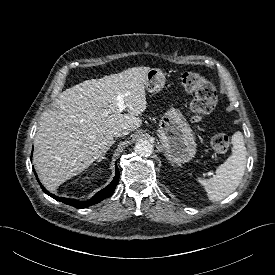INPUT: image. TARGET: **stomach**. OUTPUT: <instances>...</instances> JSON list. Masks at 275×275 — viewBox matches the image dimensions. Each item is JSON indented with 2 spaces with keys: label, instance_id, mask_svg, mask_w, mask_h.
Masks as SVG:
<instances>
[{
  "label": "stomach",
  "instance_id": "stomach-1",
  "mask_svg": "<svg viewBox=\"0 0 275 275\" xmlns=\"http://www.w3.org/2000/svg\"><path fill=\"white\" fill-rule=\"evenodd\" d=\"M165 75L158 68L148 71L145 87L150 93H156L165 85ZM166 158L180 165L191 161L196 154V141L192 129L183 114L170 108L161 118L157 130Z\"/></svg>",
  "mask_w": 275,
  "mask_h": 275
}]
</instances>
